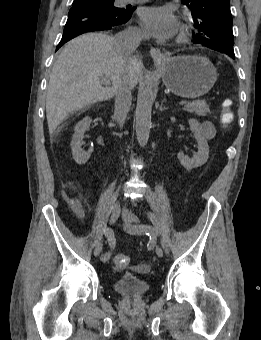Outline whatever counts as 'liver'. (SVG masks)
<instances>
[{
    "mask_svg": "<svg viewBox=\"0 0 261 340\" xmlns=\"http://www.w3.org/2000/svg\"><path fill=\"white\" fill-rule=\"evenodd\" d=\"M140 70L138 59L118 53L109 35L88 33L68 42L53 66L47 87L49 133L53 134L70 114L111 99L123 78L135 87ZM102 78L112 85L103 87Z\"/></svg>",
    "mask_w": 261,
    "mask_h": 340,
    "instance_id": "liver-1",
    "label": "liver"
}]
</instances>
